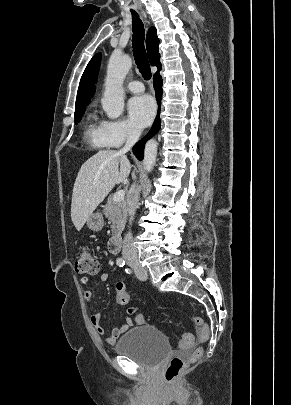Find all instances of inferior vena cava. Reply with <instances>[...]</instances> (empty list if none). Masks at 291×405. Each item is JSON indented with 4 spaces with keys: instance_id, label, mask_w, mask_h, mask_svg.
Masks as SVG:
<instances>
[{
    "instance_id": "602c4592",
    "label": "inferior vena cava",
    "mask_w": 291,
    "mask_h": 405,
    "mask_svg": "<svg viewBox=\"0 0 291 405\" xmlns=\"http://www.w3.org/2000/svg\"><path fill=\"white\" fill-rule=\"evenodd\" d=\"M140 137V131L135 129H130L128 132L127 140L124 147L120 150V153L128 152L134 144L138 141ZM133 179H135V175H132ZM140 197V190L136 184H133L130 188V191L127 195L126 204H127V212L129 215V223L132 224L134 219V215L136 212V208L138 206V201ZM123 258L132 263L138 262L137 250L133 244L132 233L129 231L124 238L123 241V249H122Z\"/></svg>"
}]
</instances>
